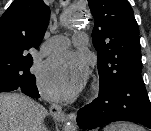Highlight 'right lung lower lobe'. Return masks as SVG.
Listing matches in <instances>:
<instances>
[{"instance_id":"right-lung-lower-lobe-1","label":"right lung lower lobe","mask_w":151,"mask_h":131,"mask_svg":"<svg viewBox=\"0 0 151 131\" xmlns=\"http://www.w3.org/2000/svg\"><path fill=\"white\" fill-rule=\"evenodd\" d=\"M16 89L21 90L24 94L32 98L40 97L35 82V76L18 82H13L0 75V92L13 91Z\"/></svg>"}]
</instances>
